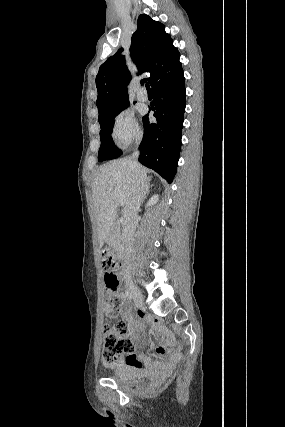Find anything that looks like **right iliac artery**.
<instances>
[{
	"instance_id": "1",
	"label": "right iliac artery",
	"mask_w": 285,
	"mask_h": 427,
	"mask_svg": "<svg viewBox=\"0 0 285 427\" xmlns=\"http://www.w3.org/2000/svg\"><path fill=\"white\" fill-rule=\"evenodd\" d=\"M125 298H127L128 300L132 301L133 296L129 291H125Z\"/></svg>"
}]
</instances>
